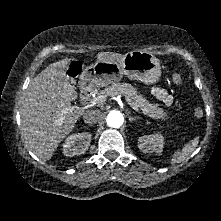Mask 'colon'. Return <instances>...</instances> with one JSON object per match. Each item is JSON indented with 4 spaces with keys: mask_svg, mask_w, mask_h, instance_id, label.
<instances>
[{
    "mask_svg": "<svg viewBox=\"0 0 221 221\" xmlns=\"http://www.w3.org/2000/svg\"><path fill=\"white\" fill-rule=\"evenodd\" d=\"M69 71H70L72 76H76L80 72V66L75 63V64H73V66L71 67V69ZM172 80L175 84H180L181 81H182V78L179 74L176 73V74H173ZM203 115H204V111H203L202 108H200V107L195 108L194 116L196 118H202Z\"/></svg>",
    "mask_w": 221,
    "mask_h": 221,
    "instance_id": "colon-1",
    "label": "colon"
}]
</instances>
